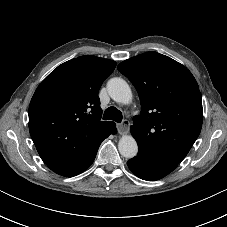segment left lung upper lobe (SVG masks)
I'll use <instances>...</instances> for the list:
<instances>
[{"instance_id":"1","label":"left lung upper lobe","mask_w":227,"mask_h":227,"mask_svg":"<svg viewBox=\"0 0 227 227\" xmlns=\"http://www.w3.org/2000/svg\"><path fill=\"white\" fill-rule=\"evenodd\" d=\"M117 68L140 97L141 114L130 127L139 152L178 165L202 127V99L194 76L182 64L157 52L137 55Z\"/></svg>"}]
</instances>
